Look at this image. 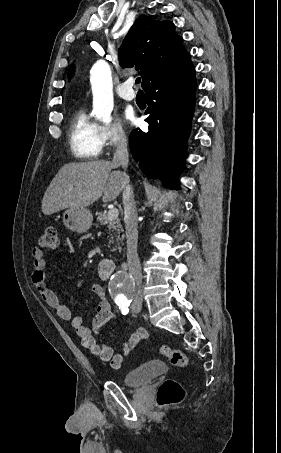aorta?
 Segmentation results:
<instances>
[{
	"mask_svg": "<svg viewBox=\"0 0 281 453\" xmlns=\"http://www.w3.org/2000/svg\"><path fill=\"white\" fill-rule=\"evenodd\" d=\"M90 82L95 118L104 123H110L114 101L111 69L108 63L99 60L93 65L90 71ZM133 285L131 275L117 272L109 282L110 293L114 295L116 302L125 303L128 295L132 292Z\"/></svg>",
	"mask_w": 281,
	"mask_h": 453,
	"instance_id": "762f6f07",
	"label": "aorta"
}]
</instances>
